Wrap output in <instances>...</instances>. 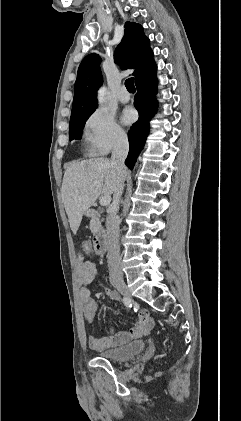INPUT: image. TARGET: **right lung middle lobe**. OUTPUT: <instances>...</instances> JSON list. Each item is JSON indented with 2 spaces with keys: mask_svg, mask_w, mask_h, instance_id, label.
Wrapping results in <instances>:
<instances>
[{
  "mask_svg": "<svg viewBox=\"0 0 241 421\" xmlns=\"http://www.w3.org/2000/svg\"><path fill=\"white\" fill-rule=\"evenodd\" d=\"M90 115L80 116L70 119V128H69V139H81L82 131L85 125V122Z\"/></svg>",
  "mask_w": 241,
  "mask_h": 421,
  "instance_id": "1",
  "label": "right lung middle lobe"
}]
</instances>
